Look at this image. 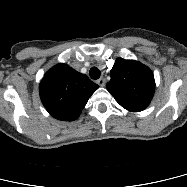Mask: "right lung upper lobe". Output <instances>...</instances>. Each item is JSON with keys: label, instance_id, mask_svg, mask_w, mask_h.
Returning a JSON list of instances; mask_svg holds the SVG:
<instances>
[{"label": "right lung upper lobe", "instance_id": "cb5924a9", "mask_svg": "<svg viewBox=\"0 0 187 187\" xmlns=\"http://www.w3.org/2000/svg\"><path fill=\"white\" fill-rule=\"evenodd\" d=\"M98 87L85 74L67 64H58L45 74L39 92L50 115L58 120L74 121Z\"/></svg>", "mask_w": 187, "mask_h": 187}]
</instances>
